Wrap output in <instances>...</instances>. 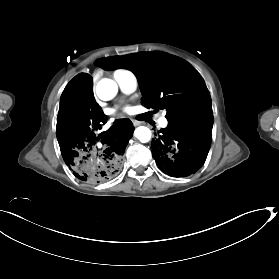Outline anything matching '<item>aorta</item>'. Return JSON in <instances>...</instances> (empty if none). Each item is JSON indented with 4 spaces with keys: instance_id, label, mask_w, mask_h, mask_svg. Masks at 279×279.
<instances>
[{
    "instance_id": "aorta-1",
    "label": "aorta",
    "mask_w": 279,
    "mask_h": 279,
    "mask_svg": "<svg viewBox=\"0 0 279 279\" xmlns=\"http://www.w3.org/2000/svg\"><path fill=\"white\" fill-rule=\"evenodd\" d=\"M118 92V86L115 81L104 78L96 86L97 96L104 101L113 99ZM135 137L142 143H147L151 139V131L148 127L140 126L134 131Z\"/></svg>"
}]
</instances>
